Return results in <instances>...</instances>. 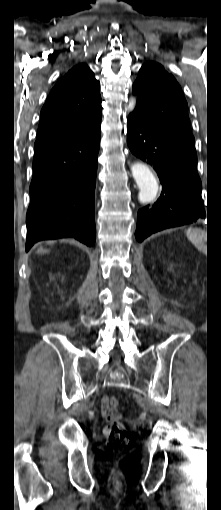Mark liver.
Returning <instances> with one entry per match:
<instances>
[{"label":"liver","mask_w":221,"mask_h":510,"mask_svg":"<svg viewBox=\"0 0 221 510\" xmlns=\"http://www.w3.org/2000/svg\"><path fill=\"white\" fill-rule=\"evenodd\" d=\"M37 252H38V253H46V252H47V250H44L43 248H39Z\"/></svg>","instance_id":"obj_1"}]
</instances>
